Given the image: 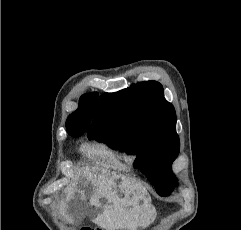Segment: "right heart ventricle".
<instances>
[{"mask_svg":"<svg viewBox=\"0 0 241 230\" xmlns=\"http://www.w3.org/2000/svg\"><path fill=\"white\" fill-rule=\"evenodd\" d=\"M82 150L92 159L110 166L127 168L125 153L105 142H93L83 146Z\"/></svg>","mask_w":241,"mask_h":230,"instance_id":"e07e8e85","label":"right heart ventricle"}]
</instances>
